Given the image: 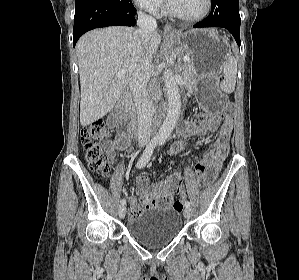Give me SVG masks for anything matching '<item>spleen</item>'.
<instances>
[{"instance_id":"3e777b00","label":"spleen","mask_w":299,"mask_h":280,"mask_svg":"<svg viewBox=\"0 0 299 280\" xmlns=\"http://www.w3.org/2000/svg\"><path fill=\"white\" fill-rule=\"evenodd\" d=\"M237 61L234 56H230L224 67V80L220 88L225 93H232L236 85Z\"/></svg>"}]
</instances>
